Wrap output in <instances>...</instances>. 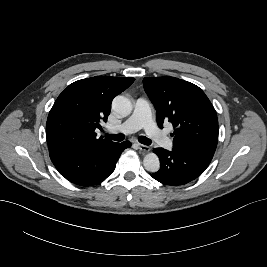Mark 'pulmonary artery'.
I'll list each match as a JSON object with an SVG mask.
<instances>
[{
  "instance_id": "1",
  "label": "pulmonary artery",
  "mask_w": 267,
  "mask_h": 267,
  "mask_svg": "<svg viewBox=\"0 0 267 267\" xmlns=\"http://www.w3.org/2000/svg\"><path fill=\"white\" fill-rule=\"evenodd\" d=\"M142 128L158 145L166 149L172 148L171 139L159 130L153 121L150 102L142 97L136 100L132 115L121 125L110 127L109 131L111 133H134Z\"/></svg>"
}]
</instances>
